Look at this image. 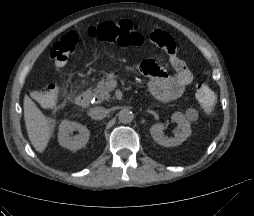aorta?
Returning <instances> with one entry per match:
<instances>
[{
    "instance_id": "aorta-1",
    "label": "aorta",
    "mask_w": 254,
    "mask_h": 216,
    "mask_svg": "<svg viewBox=\"0 0 254 216\" xmlns=\"http://www.w3.org/2000/svg\"><path fill=\"white\" fill-rule=\"evenodd\" d=\"M134 118V115L131 110L124 108L118 113V119L121 123L127 124L130 123Z\"/></svg>"
}]
</instances>
